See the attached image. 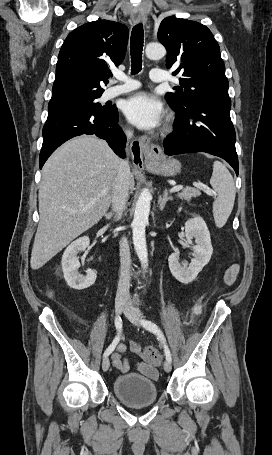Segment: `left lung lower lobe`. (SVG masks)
Segmentation results:
<instances>
[{"instance_id":"1","label":"left lung lower lobe","mask_w":272,"mask_h":455,"mask_svg":"<svg viewBox=\"0 0 272 455\" xmlns=\"http://www.w3.org/2000/svg\"><path fill=\"white\" fill-rule=\"evenodd\" d=\"M230 108L228 98H205L176 111L174 132L164 140V153L206 152L225 159L238 175L236 134Z\"/></svg>"}]
</instances>
